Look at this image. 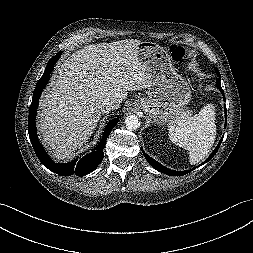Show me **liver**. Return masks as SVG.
<instances>
[{
    "label": "liver",
    "mask_w": 253,
    "mask_h": 253,
    "mask_svg": "<svg viewBox=\"0 0 253 253\" xmlns=\"http://www.w3.org/2000/svg\"><path fill=\"white\" fill-rule=\"evenodd\" d=\"M138 40L91 44L58 69L41 98L38 128L57 160L74 154L92 135L106 99L122 103L128 91L148 88L151 75L137 58Z\"/></svg>",
    "instance_id": "6515ba94"
}]
</instances>
